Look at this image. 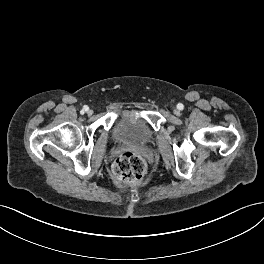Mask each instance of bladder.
<instances>
[{
  "label": "bladder",
  "instance_id": "31cf9c89",
  "mask_svg": "<svg viewBox=\"0 0 264 264\" xmlns=\"http://www.w3.org/2000/svg\"><path fill=\"white\" fill-rule=\"evenodd\" d=\"M112 136L119 144L144 148L153 142L154 130L143 116L123 112L115 120Z\"/></svg>",
  "mask_w": 264,
  "mask_h": 264
}]
</instances>
